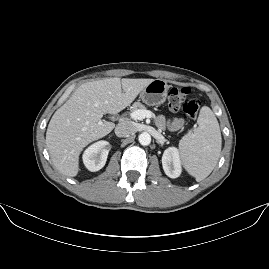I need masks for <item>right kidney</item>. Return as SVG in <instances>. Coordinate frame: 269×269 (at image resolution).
<instances>
[{
  "label": "right kidney",
  "instance_id": "ca27d5eb",
  "mask_svg": "<svg viewBox=\"0 0 269 269\" xmlns=\"http://www.w3.org/2000/svg\"><path fill=\"white\" fill-rule=\"evenodd\" d=\"M111 145L106 140L91 143L82 153V162L87 170L95 172L100 170L106 163Z\"/></svg>",
  "mask_w": 269,
  "mask_h": 269
}]
</instances>
